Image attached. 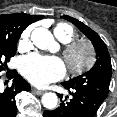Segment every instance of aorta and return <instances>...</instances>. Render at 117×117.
<instances>
[{"label":"aorta","mask_w":117,"mask_h":117,"mask_svg":"<svg viewBox=\"0 0 117 117\" xmlns=\"http://www.w3.org/2000/svg\"><path fill=\"white\" fill-rule=\"evenodd\" d=\"M31 39L36 47L42 50H52L56 47V42L51 32L43 27L33 30ZM42 104L47 109H54L57 106L58 98L55 93H45L41 98Z\"/></svg>","instance_id":"aorta-1"}]
</instances>
